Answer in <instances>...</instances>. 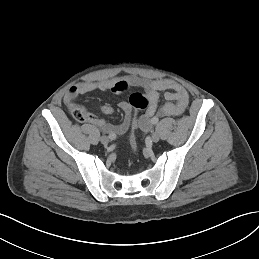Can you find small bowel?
Listing matches in <instances>:
<instances>
[{"mask_svg":"<svg viewBox=\"0 0 259 259\" xmlns=\"http://www.w3.org/2000/svg\"><path fill=\"white\" fill-rule=\"evenodd\" d=\"M128 87H141L147 95L148 107L139 118V127L143 132H147L150 129L151 119L157 113L163 116H178L186 110L189 104V94L179 83L171 79L148 80L137 76L78 83L69 88L65 95V102L69 104L77 96L95 90L118 93ZM161 92H164L166 102L159 107L158 102ZM119 107L124 114L119 124H112L92 113L88 114L86 121L96 125L105 133L123 134L129 129L132 107L129 101L125 100L119 103ZM99 110L106 115L112 114L114 111L113 107L108 104L100 106Z\"/></svg>","mask_w":259,"mask_h":259,"instance_id":"small-bowel-1","label":"small bowel"}]
</instances>
